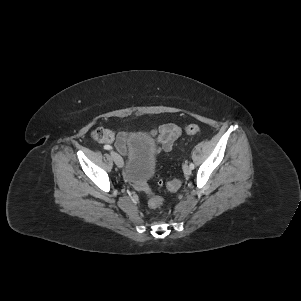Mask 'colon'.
Segmentation results:
<instances>
[{"label":"colon","instance_id":"obj_1","mask_svg":"<svg viewBox=\"0 0 301 301\" xmlns=\"http://www.w3.org/2000/svg\"><path fill=\"white\" fill-rule=\"evenodd\" d=\"M199 131H200V127L196 124H190L186 127V133L190 135L197 134ZM92 137L97 142L107 143L113 140V133L110 130L100 128L92 132ZM180 185H181L180 181L175 179L169 182L167 188L170 191L174 192L180 188ZM145 193L147 195V205L150 208H156L162 204V198L160 196L154 194L147 188L145 189Z\"/></svg>","mask_w":301,"mask_h":301}]
</instances>
